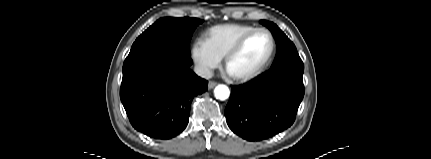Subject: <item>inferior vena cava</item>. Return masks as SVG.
Listing matches in <instances>:
<instances>
[{
	"label": "inferior vena cava",
	"mask_w": 431,
	"mask_h": 159,
	"mask_svg": "<svg viewBox=\"0 0 431 159\" xmlns=\"http://www.w3.org/2000/svg\"><path fill=\"white\" fill-rule=\"evenodd\" d=\"M194 72L205 79H210L213 76V71L204 65H195Z\"/></svg>",
	"instance_id": "obj_1"
}]
</instances>
